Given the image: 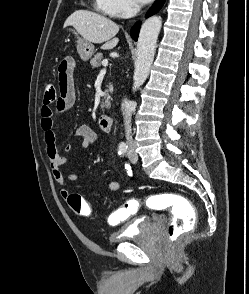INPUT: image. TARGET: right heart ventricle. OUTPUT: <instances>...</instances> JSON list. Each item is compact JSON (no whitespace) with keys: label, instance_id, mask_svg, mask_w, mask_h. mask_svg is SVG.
<instances>
[{"label":"right heart ventricle","instance_id":"1","mask_svg":"<svg viewBox=\"0 0 249 294\" xmlns=\"http://www.w3.org/2000/svg\"><path fill=\"white\" fill-rule=\"evenodd\" d=\"M96 7L103 13L112 16L108 0H95Z\"/></svg>","mask_w":249,"mask_h":294}]
</instances>
